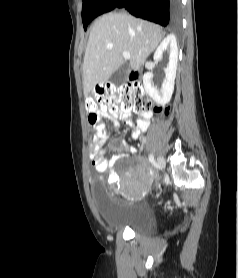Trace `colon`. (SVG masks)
<instances>
[{
  "label": "colon",
  "instance_id": "colon-1",
  "mask_svg": "<svg viewBox=\"0 0 238 278\" xmlns=\"http://www.w3.org/2000/svg\"><path fill=\"white\" fill-rule=\"evenodd\" d=\"M151 109L159 114L168 113L163 107H153L152 102L144 97L143 88L136 80L120 87L111 84L100 86L86 98L88 120L92 126L98 123L102 112L123 110L141 114Z\"/></svg>",
  "mask_w": 238,
  "mask_h": 278
}]
</instances>
